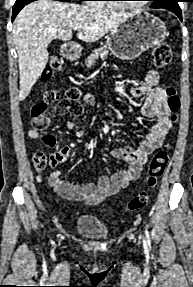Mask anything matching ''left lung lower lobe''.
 <instances>
[{
	"mask_svg": "<svg viewBox=\"0 0 193 287\" xmlns=\"http://www.w3.org/2000/svg\"><path fill=\"white\" fill-rule=\"evenodd\" d=\"M161 8L175 13L178 16V18L182 21V13H181V9H180L179 5H170V6H165V7H161Z\"/></svg>",
	"mask_w": 193,
	"mask_h": 287,
	"instance_id": "left-lung-lower-lobe-1",
	"label": "left lung lower lobe"
}]
</instances>
